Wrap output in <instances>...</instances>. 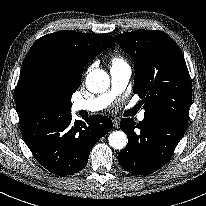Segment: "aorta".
I'll list each match as a JSON object with an SVG mask.
<instances>
[{"label":"aorta","instance_id":"obj_1","mask_svg":"<svg viewBox=\"0 0 206 206\" xmlns=\"http://www.w3.org/2000/svg\"><path fill=\"white\" fill-rule=\"evenodd\" d=\"M110 86V78L102 69L92 70L86 77V87L92 93H102ZM109 145L121 150L127 144V136L122 131H114L108 137Z\"/></svg>","mask_w":206,"mask_h":206}]
</instances>
